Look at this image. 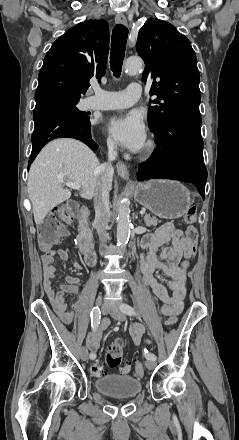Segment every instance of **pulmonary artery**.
<instances>
[{"label": "pulmonary artery", "instance_id": "e3ab8cb5", "mask_svg": "<svg viewBox=\"0 0 239 440\" xmlns=\"http://www.w3.org/2000/svg\"><path fill=\"white\" fill-rule=\"evenodd\" d=\"M91 92L94 95L85 100L86 110H112L132 106L141 95V86L133 83L123 91L109 92L93 85ZM97 97H106L108 100L98 101Z\"/></svg>", "mask_w": 239, "mask_h": 440}]
</instances>
